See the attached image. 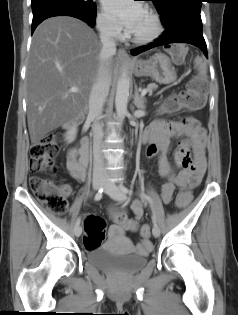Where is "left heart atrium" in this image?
Wrapping results in <instances>:
<instances>
[{
    "mask_svg": "<svg viewBox=\"0 0 238 315\" xmlns=\"http://www.w3.org/2000/svg\"><path fill=\"white\" fill-rule=\"evenodd\" d=\"M104 9L128 32H131L144 12L143 5L134 0H102Z\"/></svg>",
    "mask_w": 238,
    "mask_h": 315,
    "instance_id": "left-heart-atrium-1",
    "label": "left heart atrium"
}]
</instances>
